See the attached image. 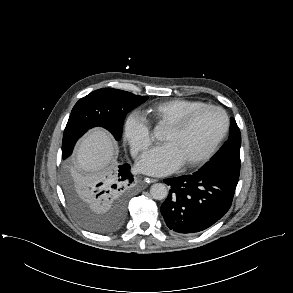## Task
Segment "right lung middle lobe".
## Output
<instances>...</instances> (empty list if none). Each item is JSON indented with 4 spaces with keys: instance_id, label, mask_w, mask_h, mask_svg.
<instances>
[{
    "instance_id": "obj_1",
    "label": "right lung middle lobe",
    "mask_w": 293,
    "mask_h": 293,
    "mask_svg": "<svg viewBox=\"0 0 293 293\" xmlns=\"http://www.w3.org/2000/svg\"><path fill=\"white\" fill-rule=\"evenodd\" d=\"M147 98L113 88L98 89L81 98L73 107L64 130L62 158L70 156L76 141L93 127L107 129L119 141L126 114ZM91 181L73 173L68 167L64 169L63 187L73 215L87 229L106 233L117 228L122 220L98 213L84 204L81 184Z\"/></svg>"
}]
</instances>
